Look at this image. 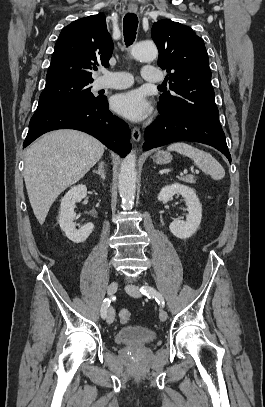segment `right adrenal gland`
<instances>
[{"label": "right adrenal gland", "mask_w": 265, "mask_h": 407, "mask_svg": "<svg viewBox=\"0 0 265 407\" xmlns=\"http://www.w3.org/2000/svg\"><path fill=\"white\" fill-rule=\"evenodd\" d=\"M93 173H96L101 177L102 180H105L106 178L105 163L101 161L98 165V170H93Z\"/></svg>", "instance_id": "2a0ac1e0"}]
</instances>
